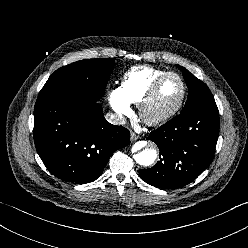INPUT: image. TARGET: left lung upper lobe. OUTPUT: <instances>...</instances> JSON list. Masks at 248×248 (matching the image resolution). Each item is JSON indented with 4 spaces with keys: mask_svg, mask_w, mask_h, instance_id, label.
I'll return each instance as SVG.
<instances>
[{
    "mask_svg": "<svg viewBox=\"0 0 248 248\" xmlns=\"http://www.w3.org/2000/svg\"><path fill=\"white\" fill-rule=\"evenodd\" d=\"M183 71V77L188 86L187 102L181 113L197 109L202 106L215 104L214 98L207 85L191 74L182 66L176 65Z\"/></svg>",
    "mask_w": 248,
    "mask_h": 248,
    "instance_id": "5c2ea615",
    "label": "left lung upper lobe"
}]
</instances>
